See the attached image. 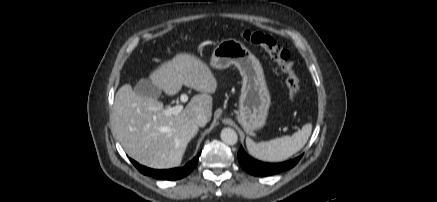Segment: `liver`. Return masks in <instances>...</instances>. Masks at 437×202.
Here are the masks:
<instances>
[{"label": "liver", "mask_w": 437, "mask_h": 202, "mask_svg": "<svg viewBox=\"0 0 437 202\" xmlns=\"http://www.w3.org/2000/svg\"><path fill=\"white\" fill-rule=\"evenodd\" d=\"M165 94H177L183 85L201 94L191 98L177 115L165 116L164 105L142 97L123 85L116 93L112 119L117 137L129 157L147 167L178 166L185 150L198 133L196 117L205 113L210 120L217 80L208 65L191 53H179L149 75Z\"/></svg>", "instance_id": "6515ba94"}]
</instances>
